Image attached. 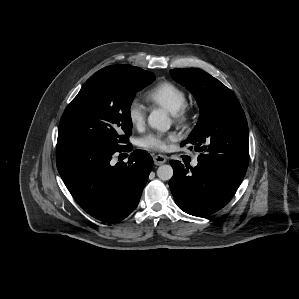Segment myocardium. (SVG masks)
Segmentation results:
<instances>
[{"label": "myocardium", "instance_id": "obj_1", "mask_svg": "<svg viewBox=\"0 0 299 299\" xmlns=\"http://www.w3.org/2000/svg\"><path fill=\"white\" fill-rule=\"evenodd\" d=\"M173 118L179 123H188L193 116V109L188 104L183 105L177 112L172 113Z\"/></svg>", "mask_w": 299, "mask_h": 299}]
</instances>
